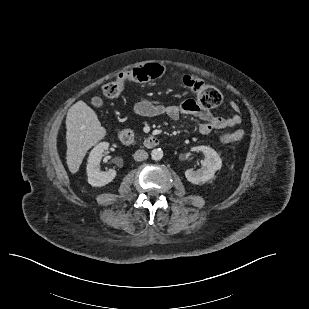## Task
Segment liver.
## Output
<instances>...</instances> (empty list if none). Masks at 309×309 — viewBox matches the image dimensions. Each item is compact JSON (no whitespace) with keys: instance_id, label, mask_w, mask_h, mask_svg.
Returning <instances> with one entry per match:
<instances>
[{"instance_id":"obj_1","label":"liver","mask_w":309,"mask_h":309,"mask_svg":"<svg viewBox=\"0 0 309 309\" xmlns=\"http://www.w3.org/2000/svg\"><path fill=\"white\" fill-rule=\"evenodd\" d=\"M66 163L72 174L78 172L87 153L106 135L96 113L83 101L70 107L66 117Z\"/></svg>"}]
</instances>
